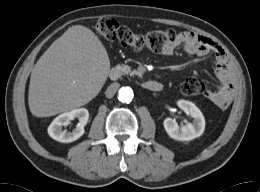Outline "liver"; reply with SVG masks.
Wrapping results in <instances>:
<instances>
[{"label":"liver","mask_w":260,"mask_h":192,"mask_svg":"<svg viewBox=\"0 0 260 192\" xmlns=\"http://www.w3.org/2000/svg\"><path fill=\"white\" fill-rule=\"evenodd\" d=\"M109 71V56L94 32L82 25L68 28L32 70L30 112L49 117L87 104L101 91Z\"/></svg>","instance_id":"liver-1"}]
</instances>
